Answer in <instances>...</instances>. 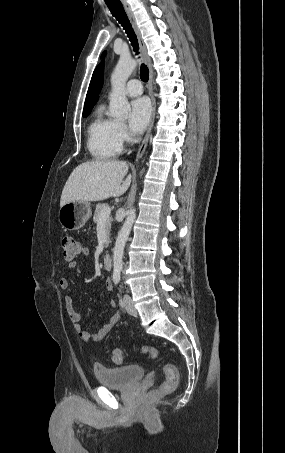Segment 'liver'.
Wrapping results in <instances>:
<instances>
[{
	"mask_svg": "<svg viewBox=\"0 0 285 453\" xmlns=\"http://www.w3.org/2000/svg\"><path fill=\"white\" fill-rule=\"evenodd\" d=\"M128 165L119 160H95L78 165L69 176L61 195L60 207L74 201H101L123 195L131 184Z\"/></svg>",
	"mask_w": 285,
	"mask_h": 453,
	"instance_id": "obj_1",
	"label": "liver"
}]
</instances>
